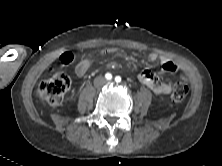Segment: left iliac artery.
<instances>
[{
	"label": "left iliac artery",
	"mask_w": 222,
	"mask_h": 166,
	"mask_svg": "<svg viewBox=\"0 0 222 166\" xmlns=\"http://www.w3.org/2000/svg\"><path fill=\"white\" fill-rule=\"evenodd\" d=\"M115 81H116L117 83H119V82L121 81V77H120V76H116V77H115Z\"/></svg>",
	"instance_id": "44dca946"
}]
</instances>
